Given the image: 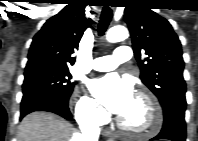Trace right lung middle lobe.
<instances>
[{
	"mask_svg": "<svg viewBox=\"0 0 198 141\" xmlns=\"http://www.w3.org/2000/svg\"><path fill=\"white\" fill-rule=\"evenodd\" d=\"M23 94L41 92L68 100L74 87L68 69L43 68L25 72Z\"/></svg>",
	"mask_w": 198,
	"mask_h": 141,
	"instance_id": "dd1d6c3e",
	"label": "right lung middle lobe"
}]
</instances>
